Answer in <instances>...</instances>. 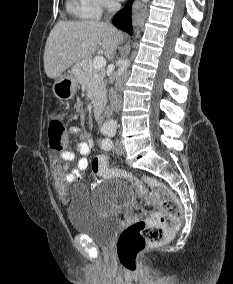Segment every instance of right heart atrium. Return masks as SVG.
Wrapping results in <instances>:
<instances>
[{
    "instance_id": "right-heart-atrium-1",
    "label": "right heart atrium",
    "mask_w": 233,
    "mask_h": 284,
    "mask_svg": "<svg viewBox=\"0 0 233 284\" xmlns=\"http://www.w3.org/2000/svg\"><path fill=\"white\" fill-rule=\"evenodd\" d=\"M101 8L110 10L113 9L117 5L116 0H98Z\"/></svg>"
}]
</instances>
